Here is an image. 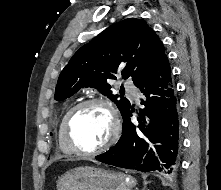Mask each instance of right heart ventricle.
I'll return each mask as SVG.
<instances>
[{"mask_svg": "<svg viewBox=\"0 0 221 190\" xmlns=\"http://www.w3.org/2000/svg\"><path fill=\"white\" fill-rule=\"evenodd\" d=\"M76 102H72L71 104H69L66 109L64 110L60 121H59V125H58V134H57V141H58V147L60 149V151L63 154L66 155H70V154H74V152L72 151V149L69 147V145L66 143L65 139H64V135H63V121L66 117V115L68 114V112L76 105Z\"/></svg>", "mask_w": 221, "mask_h": 190, "instance_id": "e07e8e85", "label": "right heart ventricle"}]
</instances>
